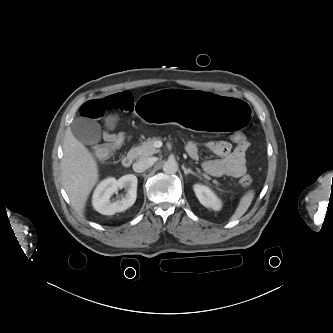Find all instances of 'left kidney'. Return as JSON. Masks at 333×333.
<instances>
[{"label": "left kidney", "mask_w": 333, "mask_h": 333, "mask_svg": "<svg viewBox=\"0 0 333 333\" xmlns=\"http://www.w3.org/2000/svg\"><path fill=\"white\" fill-rule=\"evenodd\" d=\"M194 192L203 206L212 208L215 211L221 209V200L217 198V196L211 191L209 187L196 184L194 185Z\"/></svg>", "instance_id": "obj_1"}]
</instances>
